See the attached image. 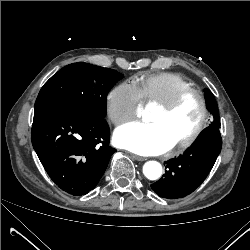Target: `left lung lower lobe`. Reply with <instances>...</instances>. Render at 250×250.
<instances>
[{
  "instance_id": "0a47b994",
  "label": "left lung lower lobe",
  "mask_w": 250,
  "mask_h": 250,
  "mask_svg": "<svg viewBox=\"0 0 250 250\" xmlns=\"http://www.w3.org/2000/svg\"><path fill=\"white\" fill-rule=\"evenodd\" d=\"M221 147L219 129L207 127L183 155L166 163L165 174L151 185L152 190L168 199L188 195L207 177Z\"/></svg>"
}]
</instances>
